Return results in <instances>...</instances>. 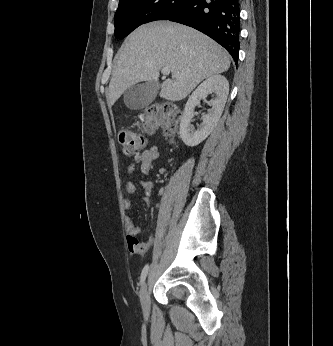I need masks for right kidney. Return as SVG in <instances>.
<instances>
[{
    "instance_id": "1",
    "label": "right kidney",
    "mask_w": 333,
    "mask_h": 346,
    "mask_svg": "<svg viewBox=\"0 0 333 346\" xmlns=\"http://www.w3.org/2000/svg\"><path fill=\"white\" fill-rule=\"evenodd\" d=\"M211 91L215 93L213 100L208 102L211 106L208 114L202 116L203 123L197 130L191 125L194 117V109L200 100L205 98ZM229 93V83L222 75H213L203 81L189 97L180 122V137L190 147L200 144L205 140L217 125Z\"/></svg>"
}]
</instances>
